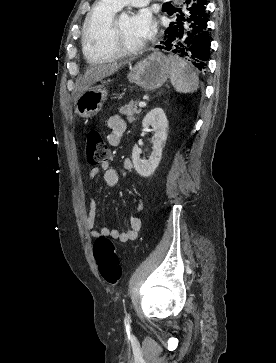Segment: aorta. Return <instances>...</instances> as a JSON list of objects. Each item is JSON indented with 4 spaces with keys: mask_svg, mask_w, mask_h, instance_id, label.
I'll use <instances>...</instances> for the list:
<instances>
[{
    "mask_svg": "<svg viewBox=\"0 0 276 363\" xmlns=\"http://www.w3.org/2000/svg\"><path fill=\"white\" fill-rule=\"evenodd\" d=\"M121 17L126 18V17H127V14L123 13V14L121 15Z\"/></svg>",
    "mask_w": 276,
    "mask_h": 363,
    "instance_id": "aorta-1",
    "label": "aorta"
}]
</instances>
